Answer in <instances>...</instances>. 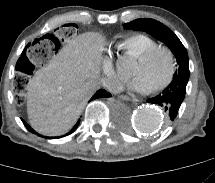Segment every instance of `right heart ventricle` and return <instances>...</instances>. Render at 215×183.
<instances>
[{
    "instance_id": "1",
    "label": "right heart ventricle",
    "mask_w": 215,
    "mask_h": 183,
    "mask_svg": "<svg viewBox=\"0 0 215 183\" xmlns=\"http://www.w3.org/2000/svg\"><path fill=\"white\" fill-rule=\"evenodd\" d=\"M158 42L151 36L136 32L125 36L118 44V47L125 53L138 56L147 50L158 46Z\"/></svg>"
}]
</instances>
